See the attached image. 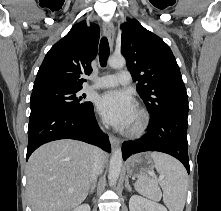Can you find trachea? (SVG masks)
Instances as JSON below:
<instances>
[{"mask_svg": "<svg viewBox=\"0 0 221 211\" xmlns=\"http://www.w3.org/2000/svg\"><path fill=\"white\" fill-rule=\"evenodd\" d=\"M109 43L106 37H103L100 41V47H99V61L100 65L102 67L106 66L107 59L109 56Z\"/></svg>", "mask_w": 221, "mask_h": 211, "instance_id": "trachea-1", "label": "trachea"}]
</instances>
